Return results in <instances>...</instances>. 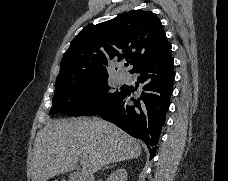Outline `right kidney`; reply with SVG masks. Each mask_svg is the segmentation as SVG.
<instances>
[{
    "instance_id": "right-kidney-1",
    "label": "right kidney",
    "mask_w": 228,
    "mask_h": 181,
    "mask_svg": "<svg viewBox=\"0 0 228 181\" xmlns=\"http://www.w3.org/2000/svg\"><path fill=\"white\" fill-rule=\"evenodd\" d=\"M128 173L125 169H119V171H115L112 173L110 177H108V181H127Z\"/></svg>"
}]
</instances>
